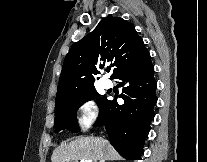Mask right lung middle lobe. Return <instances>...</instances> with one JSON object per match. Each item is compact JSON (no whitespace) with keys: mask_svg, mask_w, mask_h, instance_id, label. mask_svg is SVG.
Returning a JSON list of instances; mask_svg holds the SVG:
<instances>
[{"mask_svg":"<svg viewBox=\"0 0 207 162\" xmlns=\"http://www.w3.org/2000/svg\"><path fill=\"white\" fill-rule=\"evenodd\" d=\"M99 97L95 89L77 94L61 97L56 99L55 102V131L59 132L62 129H70L77 132L79 129L76 122L77 109L86 101ZM106 97L96 99L97 104L100 106V111L107 103Z\"/></svg>","mask_w":207,"mask_h":162,"instance_id":"dd1d6c3e","label":"right lung middle lobe"}]
</instances>
